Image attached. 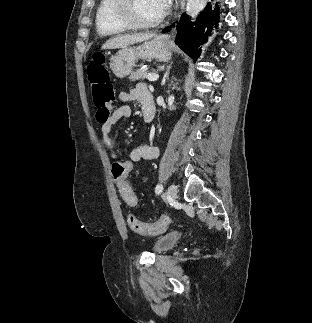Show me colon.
Here are the masks:
<instances>
[{"mask_svg":"<svg viewBox=\"0 0 312 323\" xmlns=\"http://www.w3.org/2000/svg\"><path fill=\"white\" fill-rule=\"evenodd\" d=\"M88 79L92 85L93 104L98 112L95 117L96 121H109V116L112 114L111 107L115 97V90L102 56L98 55L97 60L90 63ZM133 164L132 160H115L111 169L115 182H118L124 203L129 204L130 209L137 211L138 203L133 197V190L126 180L127 172L133 171ZM128 215H131V212H128ZM170 222L169 217H162L155 223L141 222L131 217L129 219V230L135 234L158 235L168 230Z\"/></svg>","mask_w":312,"mask_h":323,"instance_id":"5ec220e1","label":"colon"}]
</instances>
